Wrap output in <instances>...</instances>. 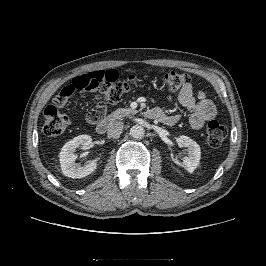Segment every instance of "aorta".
<instances>
[{"mask_svg": "<svg viewBox=\"0 0 266 266\" xmlns=\"http://www.w3.org/2000/svg\"><path fill=\"white\" fill-rule=\"evenodd\" d=\"M130 134L135 139H142L145 135V129L141 125H134L130 129Z\"/></svg>", "mask_w": 266, "mask_h": 266, "instance_id": "obj_1", "label": "aorta"}]
</instances>
